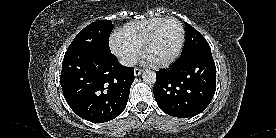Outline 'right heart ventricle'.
<instances>
[{
	"label": "right heart ventricle",
	"mask_w": 276,
	"mask_h": 138,
	"mask_svg": "<svg viewBox=\"0 0 276 138\" xmlns=\"http://www.w3.org/2000/svg\"><path fill=\"white\" fill-rule=\"evenodd\" d=\"M163 19L164 17H156L130 22L119 30L117 37L141 50L153 28Z\"/></svg>",
	"instance_id": "e07e8e85"
}]
</instances>
